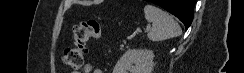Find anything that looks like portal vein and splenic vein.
<instances>
[{
    "instance_id": "1",
    "label": "portal vein and splenic vein",
    "mask_w": 244,
    "mask_h": 73,
    "mask_svg": "<svg viewBox=\"0 0 244 73\" xmlns=\"http://www.w3.org/2000/svg\"><path fill=\"white\" fill-rule=\"evenodd\" d=\"M150 30V26H148L145 30V32H148Z\"/></svg>"
}]
</instances>
